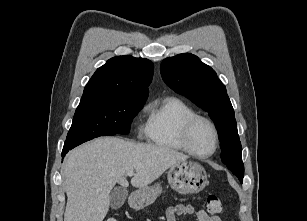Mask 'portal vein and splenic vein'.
Instances as JSON below:
<instances>
[{
    "mask_svg": "<svg viewBox=\"0 0 307 221\" xmlns=\"http://www.w3.org/2000/svg\"><path fill=\"white\" fill-rule=\"evenodd\" d=\"M133 175H134V171H128V172H127V176H130V177H131V176H133Z\"/></svg>",
    "mask_w": 307,
    "mask_h": 221,
    "instance_id": "portal-vein-and-splenic-vein-1",
    "label": "portal vein and splenic vein"
}]
</instances>
